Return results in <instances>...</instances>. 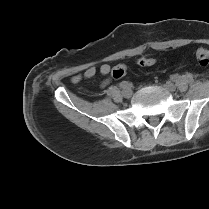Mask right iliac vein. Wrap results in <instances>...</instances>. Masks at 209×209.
I'll list each match as a JSON object with an SVG mask.
<instances>
[{"label":"right iliac vein","mask_w":209,"mask_h":209,"mask_svg":"<svg viewBox=\"0 0 209 209\" xmlns=\"http://www.w3.org/2000/svg\"><path fill=\"white\" fill-rule=\"evenodd\" d=\"M122 95L126 98H129L132 95V90L130 88L124 89L122 91Z\"/></svg>","instance_id":"right-iliac-vein-1"}]
</instances>
